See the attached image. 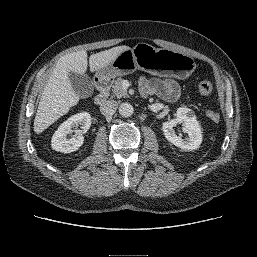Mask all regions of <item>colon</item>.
<instances>
[{
	"label": "colon",
	"instance_id": "colon-1",
	"mask_svg": "<svg viewBox=\"0 0 257 257\" xmlns=\"http://www.w3.org/2000/svg\"><path fill=\"white\" fill-rule=\"evenodd\" d=\"M198 92L203 95V96H207L210 95L212 93L213 90V85L210 81L208 80H202L198 83ZM207 116L208 118L213 121V122H217L219 120V114L215 111H208L207 112Z\"/></svg>",
	"mask_w": 257,
	"mask_h": 257
}]
</instances>
